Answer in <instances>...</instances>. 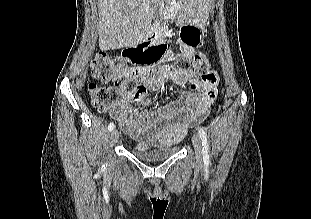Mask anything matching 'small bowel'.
Returning a JSON list of instances; mask_svg holds the SVG:
<instances>
[{"label":"small bowel","mask_w":311,"mask_h":219,"mask_svg":"<svg viewBox=\"0 0 311 219\" xmlns=\"http://www.w3.org/2000/svg\"><path fill=\"white\" fill-rule=\"evenodd\" d=\"M192 28L195 37L199 39L198 30ZM177 45L183 57L189 58L194 55L196 44L179 40ZM133 75L144 83L149 91H157L168 82L181 87L188 78V74L182 71L167 70L162 61L148 67H135ZM218 83V74L210 71L202 77L198 93L180 91L174 101L142 112H138L130 98L125 95L116 107H109L106 110L134 140L165 146L179 141L192 124L209 112L218 93Z\"/></svg>","instance_id":"small-bowel-1"}]
</instances>
